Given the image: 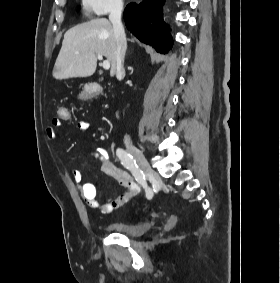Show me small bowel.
<instances>
[{
  "mask_svg": "<svg viewBox=\"0 0 280 283\" xmlns=\"http://www.w3.org/2000/svg\"><path fill=\"white\" fill-rule=\"evenodd\" d=\"M70 120V119H69ZM62 122L54 119L52 124L46 129V135L50 140H53L58 135V128ZM78 131L85 132L89 128V123L85 120L77 122ZM93 156L101 163L103 173L115 179L123 188L124 192L116 198L109 199L104 203H100L96 198V188L91 182H83L82 172L78 169L72 171V178L78 185L82 200L93 210L102 214H109L112 211L126 205L139 191V184L133 177L124 169L117 166L110 158V154L104 146L96 147Z\"/></svg>",
  "mask_w": 280,
  "mask_h": 283,
  "instance_id": "c3829d8e",
  "label": "small bowel"
}]
</instances>
